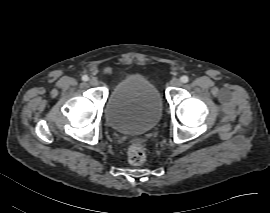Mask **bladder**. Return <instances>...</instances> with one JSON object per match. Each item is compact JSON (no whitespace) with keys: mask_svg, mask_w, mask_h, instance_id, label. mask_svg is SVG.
I'll use <instances>...</instances> for the list:
<instances>
[{"mask_svg":"<svg viewBox=\"0 0 270 213\" xmlns=\"http://www.w3.org/2000/svg\"><path fill=\"white\" fill-rule=\"evenodd\" d=\"M163 112L162 97L155 85L144 75H128L108 94L105 117L115 131L144 134L159 122Z\"/></svg>","mask_w":270,"mask_h":213,"instance_id":"obj_1","label":"bladder"}]
</instances>
